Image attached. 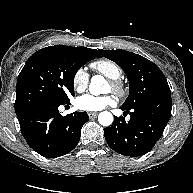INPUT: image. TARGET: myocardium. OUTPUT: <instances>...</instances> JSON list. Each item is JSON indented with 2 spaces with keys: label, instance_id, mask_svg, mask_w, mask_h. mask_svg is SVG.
I'll list each match as a JSON object with an SVG mask.
<instances>
[{
  "label": "myocardium",
  "instance_id": "obj_1",
  "mask_svg": "<svg viewBox=\"0 0 193 193\" xmlns=\"http://www.w3.org/2000/svg\"><path fill=\"white\" fill-rule=\"evenodd\" d=\"M110 90L118 97H124L127 90L125 84L120 79L109 80Z\"/></svg>",
  "mask_w": 193,
  "mask_h": 193
}]
</instances>
